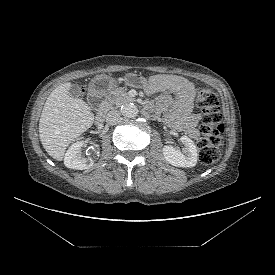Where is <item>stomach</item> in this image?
Wrapping results in <instances>:
<instances>
[{
	"label": "stomach",
	"instance_id": "obj_1",
	"mask_svg": "<svg viewBox=\"0 0 275 275\" xmlns=\"http://www.w3.org/2000/svg\"><path fill=\"white\" fill-rule=\"evenodd\" d=\"M116 82L106 75H97L90 82V90L95 95L110 94L115 90Z\"/></svg>",
	"mask_w": 275,
	"mask_h": 275
}]
</instances>
